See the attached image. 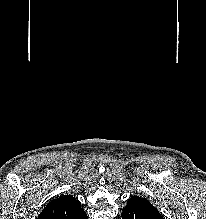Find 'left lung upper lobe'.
I'll return each mask as SVG.
<instances>
[{
  "instance_id": "left-lung-upper-lobe-1",
  "label": "left lung upper lobe",
  "mask_w": 206,
  "mask_h": 219,
  "mask_svg": "<svg viewBox=\"0 0 206 219\" xmlns=\"http://www.w3.org/2000/svg\"><path fill=\"white\" fill-rule=\"evenodd\" d=\"M144 199V198H143ZM144 200H146V199H144ZM150 205H151V203L148 201V200H146ZM154 207V206H153ZM155 208V207H154ZM156 209V208H155ZM157 210V209H156ZM158 211V210H157Z\"/></svg>"
}]
</instances>
